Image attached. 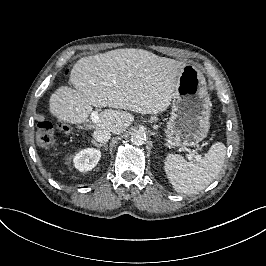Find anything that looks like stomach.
Returning a JSON list of instances; mask_svg holds the SVG:
<instances>
[{
	"mask_svg": "<svg viewBox=\"0 0 266 266\" xmlns=\"http://www.w3.org/2000/svg\"><path fill=\"white\" fill-rule=\"evenodd\" d=\"M211 106L204 75L196 67L185 65L172 95L171 117L165 129L167 146H192L206 138Z\"/></svg>",
	"mask_w": 266,
	"mask_h": 266,
	"instance_id": "1",
	"label": "stomach"
}]
</instances>
